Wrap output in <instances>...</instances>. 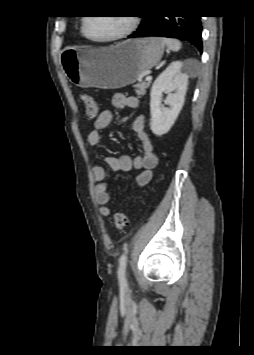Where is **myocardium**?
<instances>
[{
	"label": "myocardium",
	"instance_id": "myocardium-1",
	"mask_svg": "<svg viewBox=\"0 0 254 355\" xmlns=\"http://www.w3.org/2000/svg\"><path fill=\"white\" fill-rule=\"evenodd\" d=\"M129 25L127 26V28L122 31L121 33L115 35V36H112V37H109V38H104V39H98V38H93L91 37L88 33H87V24H88V20H89V17H86L84 20H83V23H82V33L83 35L90 41L92 42H95V43H108V42H114V41H118V40H121V39H124L126 37H128L138 26V23H139V18L137 15H131L129 16Z\"/></svg>",
	"mask_w": 254,
	"mask_h": 355
}]
</instances>
